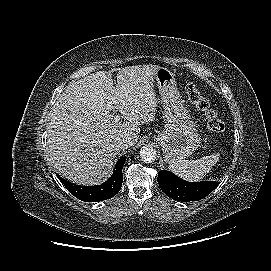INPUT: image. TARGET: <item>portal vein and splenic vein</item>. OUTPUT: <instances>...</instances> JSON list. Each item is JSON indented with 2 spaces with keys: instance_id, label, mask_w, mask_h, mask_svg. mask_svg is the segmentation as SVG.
Wrapping results in <instances>:
<instances>
[{
  "instance_id": "obj_1",
  "label": "portal vein and splenic vein",
  "mask_w": 271,
  "mask_h": 271,
  "mask_svg": "<svg viewBox=\"0 0 271 271\" xmlns=\"http://www.w3.org/2000/svg\"><path fill=\"white\" fill-rule=\"evenodd\" d=\"M113 119H114L115 122H119V120L121 119V116L120 115H115Z\"/></svg>"
}]
</instances>
